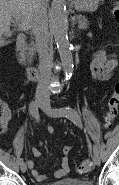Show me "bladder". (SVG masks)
I'll list each match as a JSON object with an SVG mask.
<instances>
[{
    "label": "bladder",
    "instance_id": "31cf9c89",
    "mask_svg": "<svg viewBox=\"0 0 119 185\" xmlns=\"http://www.w3.org/2000/svg\"><path fill=\"white\" fill-rule=\"evenodd\" d=\"M47 185H93L90 180L67 178Z\"/></svg>",
    "mask_w": 119,
    "mask_h": 185
}]
</instances>
